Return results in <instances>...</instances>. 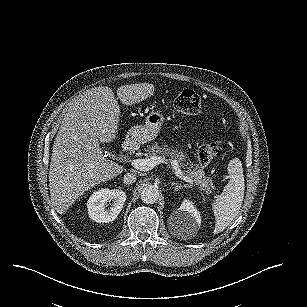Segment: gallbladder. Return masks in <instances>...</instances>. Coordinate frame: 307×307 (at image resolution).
I'll return each mask as SVG.
<instances>
[{
	"label": "gallbladder",
	"instance_id": "1",
	"mask_svg": "<svg viewBox=\"0 0 307 307\" xmlns=\"http://www.w3.org/2000/svg\"><path fill=\"white\" fill-rule=\"evenodd\" d=\"M103 155H104V157L109 158V157L112 156V153H111V151L109 149H104L103 150Z\"/></svg>",
	"mask_w": 307,
	"mask_h": 307
}]
</instances>
